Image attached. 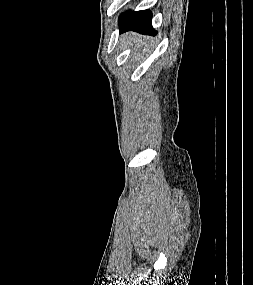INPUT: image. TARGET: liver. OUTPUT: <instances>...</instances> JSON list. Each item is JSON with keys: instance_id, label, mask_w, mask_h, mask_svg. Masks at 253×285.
<instances>
[{"instance_id": "6515ba94", "label": "liver", "mask_w": 253, "mask_h": 285, "mask_svg": "<svg viewBox=\"0 0 253 285\" xmlns=\"http://www.w3.org/2000/svg\"><path fill=\"white\" fill-rule=\"evenodd\" d=\"M134 36H135V37L132 38V40H133L134 43L140 41V39L137 38L136 35H134ZM138 46L140 47V46H142V45H138Z\"/></svg>"}]
</instances>
